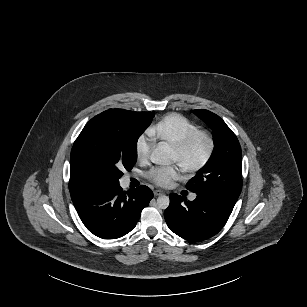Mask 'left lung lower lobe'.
I'll return each instance as SVG.
<instances>
[{
	"instance_id": "0a47b994",
	"label": "left lung lower lobe",
	"mask_w": 307,
	"mask_h": 307,
	"mask_svg": "<svg viewBox=\"0 0 307 307\" xmlns=\"http://www.w3.org/2000/svg\"><path fill=\"white\" fill-rule=\"evenodd\" d=\"M164 216L168 227L178 236L199 242L217 234L227 222L234 205L223 200L197 195L187 201L176 193L169 196Z\"/></svg>"
}]
</instances>
